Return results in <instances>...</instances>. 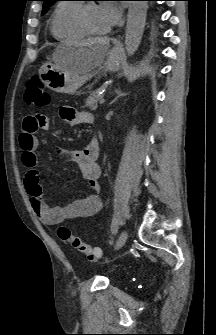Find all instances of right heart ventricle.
<instances>
[{"label":"right heart ventricle","mask_w":216,"mask_h":335,"mask_svg":"<svg viewBox=\"0 0 216 335\" xmlns=\"http://www.w3.org/2000/svg\"><path fill=\"white\" fill-rule=\"evenodd\" d=\"M80 6L81 4L68 1H62L56 6L50 23V31L55 39L72 41L87 35L77 22V12Z\"/></svg>","instance_id":"1"}]
</instances>
